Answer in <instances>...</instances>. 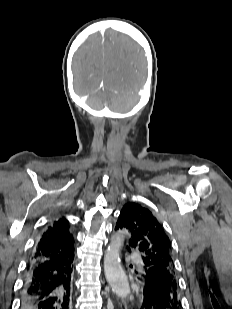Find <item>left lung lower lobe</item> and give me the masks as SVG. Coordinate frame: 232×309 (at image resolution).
<instances>
[{
	"label": "left lung lower lobe",
	"mask_w": 232,
	"mask_h": 309,
	"mask_svg": "<svg viewBox=\"0 0 232 309\" xmlns=\"http://www.w3.org/2000/svg\"><path fill=\"white\" fill-rule=\"evenodd\" d=\"M130 252V249L126 247ZM143 288V302L140 309H181V303L171 299L164 286L154 277L139 274Z\"/></svg>",
	"instance_id": "left-lung-lower-lobe-1"
}]
</instances>
